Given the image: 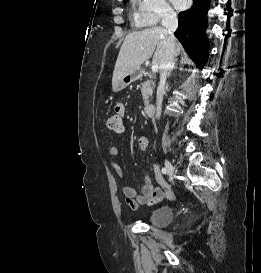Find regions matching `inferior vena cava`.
Here are the masks:
<instances>
[{
    "label": "inferior vena cava",
    "instance_id": "602c4592",
    "mask_svg": "<svg viewBox=\"0 0 261 273\" xmlns=\"http://www.w3.org/2000/svg\"><path fill=\"white\" fill-rule=\"evenodd\" d=\"M162 26L166 29L168 33V38L166 42V51L164 61L160 66V81L157 88L156 96V119L161 116V106L163 95L165 92V84L168 73L172 71L175 64V37L174 32L178 27V19L176 13L171 9H167L162 17Z\"/></svg>",
    "mask_w": 261,
    "mask_h": 273
}]
</instances>
